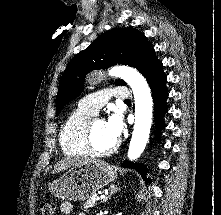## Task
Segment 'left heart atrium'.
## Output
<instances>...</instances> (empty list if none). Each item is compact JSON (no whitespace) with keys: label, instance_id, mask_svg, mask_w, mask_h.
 Segmentation results:
<instances>
[{"label":"left heart atrium","instance_id":"39dd6f15","mask_svg":"<svg viewBox=\"0 0 221 215\" xmlns=\"http://www.w3.org/2000/svg\"><path fill=\"white\" fill-rule=\"evenodd\" d=\"M106 130L115 141L120 137L123 129L122 121L118 115H112L106 122Z\"/></svg>","mask_w":221,"mask_h":215}]
</instances>
